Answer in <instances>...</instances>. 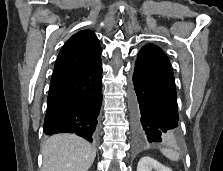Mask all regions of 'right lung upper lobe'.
I'll return each instance as SVG.
<instances>
[{"mask_svg": "<svg viewBox=\"0 0 223 171\" xmlns=\"http://www.w3.org/2000/svg\"><path fill=\"white\" fill-rule=\"evenodd\" d=\"M101 47L96 35L90 30L74 34L62 47L51 81L79 73L101 60Z\"/></svg>", "mask_w": 223, "mask_h": 171, "instance_id": "right-lung-upper-lobe-1", "label": "right lung upper lobe"}]
</instances>
